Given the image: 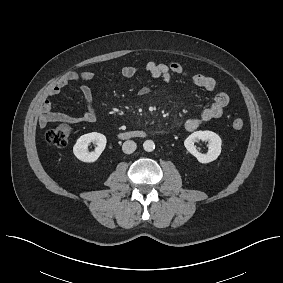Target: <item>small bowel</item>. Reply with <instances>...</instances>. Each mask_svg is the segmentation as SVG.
<instances>
[{
    "label": "small bowel",
    "instance_id": "c3829d8e",
    "mask_svg": "<svg viewBox=\"0 0 283 283\" xmlns=\"http://www.w3.org/2000/svg\"><path fill=\"white\" fill-rule=\"evenodd\" d=\"M147 72L153 78H161L164 81H170L172 75L187 76V71L178 62H172L170 64L148 62L146 64ZM121 75L125 78L133 77L137 68L131 65H127L121 68ZM95 77V72H69L67 73L51 90L49 95L51 97L58 96L61 91L74 81L87 82ZM191 81L196 87L202 88L206 91H216L218 84L216 80L210 76L204 74H195L192 76ZM80 91L84 99L85 109L81 115H69L64 113L55 112L52 109V103L49 100H45L41 106V112L39 121L42 126H45L53 122H64L76 124L80 122L92 123L98 120L99 115L94 107L93 93L89 85L82 84ZM151 91L150 87H144L140 90L139 95L148 94ZM229 95L225 92H217L214 96L213 102L206 107L198 116L190 117L185 121L184 127L187 131H195L202 124L220 118L225 107L229 104Z\"/></svg>",
    "mask_w": 283,
    "mask_h": 283
}]
</instances>
